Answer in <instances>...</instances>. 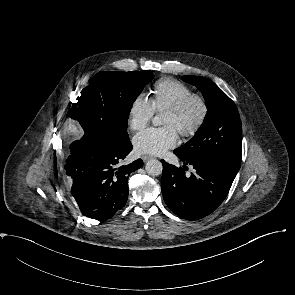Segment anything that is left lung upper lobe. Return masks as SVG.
<instances>
[{
    "mask_svg": "<svg viewBox=\"0 0 295 295\" xmlns=\"http://www.w3.org/2000/svg\"><path fill=\"white\" fill-rule=\"evenodd\" d=\"M183 81L202 92L208 111L196 134L175 151L186 160H209L237 174L241 164L242 126L236 105L208 78L183 76Z\"/></svg>",
    "mask_w": 295,
    "mask_h": 295,
    "instance_id": "1",
    "label": "left lung upper lobe"
}]
</instances>
